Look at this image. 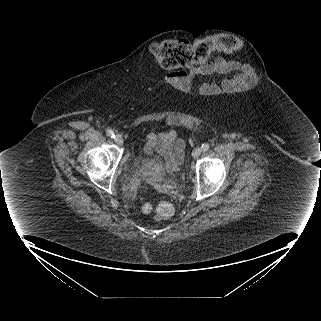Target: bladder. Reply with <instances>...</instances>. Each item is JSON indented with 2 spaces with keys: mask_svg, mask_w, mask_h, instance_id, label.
Returning a JSON list of instances; mask_svg holds the SVG:
<instances>
[{
  "mask_svg": "<svg viewBox=\"0 0 321 321\" xmlns=\"http://www.w3.org/2000/svg\"><path fill=\"white\" fill-rule=\"evenodd\" d=\"M180 165L181 162L178 164L176 169H178ZM135 169L140 175L149 181H156L164 175L161 161L149 154L144 155L136 162Z\"/></svg>",
  "mask_w": 321,
  "mask_h": 321,
  "instance_id": "bladder-1",
  "label": "bladder"
}]
</instances>
